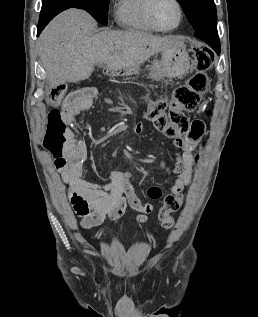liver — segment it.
<instances>
[{
    "mask_svg": "<svg viewBox=\"0 0 258 317\" xmlns=\"http://www.w3.org/2000/svg\"><path fill=\"white\" fill-rule=\"evenodd\" d=\"M96 28V20L81 8H68L47 24L38 46L49 82L85 80L95 64H107L111 70L139 68L152 54L182 42L178 36H154L143 30Z\"/></svg>",
    "mask_w": 258,
    "mask_h": 317,
    "instance_id": "liver-1",
    "label": "liver"
}]
</instances>
